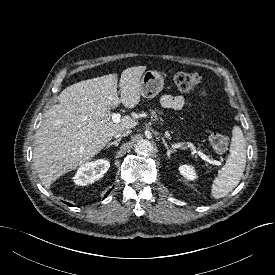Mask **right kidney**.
<instances>
[{
    "instance_id": "obj_1",
    "label": "right kidney",
    "mask_w": 275,
    "mask_h": 275,
    "mask_svg": "<svg viewBox=\"0 0 275 275\" xmlns=\"http://www.w3.org/2000/svg\"><path fill=\"white\" fill-rule=\"evenodd\" d=\"M109 167V161L104 159L87 162L78 168L75 176L73 177L74 183L80 186L93 183L94 181L102 178L108 171Z\"/></svg>"
}]
</instances>
